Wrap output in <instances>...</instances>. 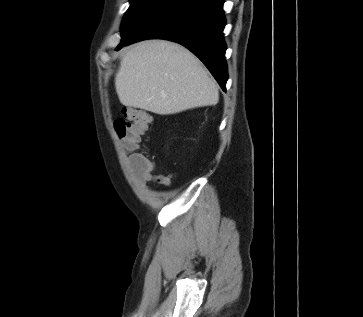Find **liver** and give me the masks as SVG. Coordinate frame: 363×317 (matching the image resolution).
<instances>
[{"label":"liver","mask_w":363,"mask_h":317,"mask_svg":"<svg viewBox=\"0 0 363 317\" xmlns=\"http://www.w3.org/2000/svg\"><path fill=\"white\" fill-rule=\"evenodd\" d=\"M120 102L160 115L218 103L216 82L186 48L163 40L125 50L115 77Z\"/></svg>","instance_id":"1"}]
</instances>
